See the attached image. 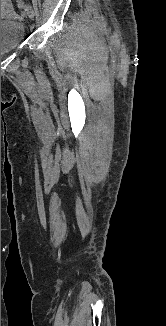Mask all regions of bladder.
Listing matches in <instances>:
<instances>
[{
  "label": "bladder",
  "instance_id": "1",
  "mask_svg": "<svg viewBox=\"0 0 166 326\" xmlns=\"http://www.w3.org/2000/svg\"><path fill=\"white\" fill-rule=\"evenodd\" d=\"M7 7L12 8L10 5ZM24 34V27L16 18L1 19V55L16 49L22 43Z\"/></svg>",
  "mask_w": 166,
  "mask_h": 326
}]
</instances>
